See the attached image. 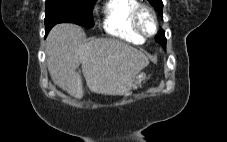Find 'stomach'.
<instances>
[{"instance_id":"1","label":"stomach","mask_w":227,"mask_h":142,"mask_svg":"<svg viewBox=\"0 0 227 142\" xmlns=\"http://www.w3.org/2000/svg\"><path fill=\"white\" fill-rule=\"evenodd\" d=\"M144 80H146V74L143 73V72H142V73H139V74L136 76V79H135V81H134V83H133L131 89H137V87L140 86L141 83H142ZM131 89H130V90H131ZM130 90H129V91H130ZM129 94H130V92H127V93H126V95H129Z\"/></svg>"}]
</instances>
